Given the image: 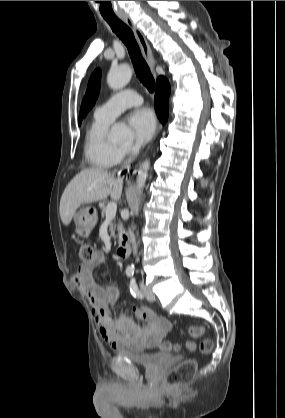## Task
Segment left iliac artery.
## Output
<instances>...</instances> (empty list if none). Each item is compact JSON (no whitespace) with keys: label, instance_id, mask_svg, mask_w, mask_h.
I'll use <instances>...</instances> for the list:
<instances>
[{"label":"left iliac artery","instance_id":"1","mask_svg":"<svg viewBox=\"0 0 285 418\" xmlns=\"http://www.w3.org/2000/svg\"><path fill=\"white\" fill-rule=\"evenodd\" d=\"M130 291H131V294L136 298H142L143 296H142V294H141V292L139 291V289H138V286H137V284H136V281H135V279H132L131 281H130Z\"/></svg>","mask_w":285,"mask_h":418}]
</instances>
